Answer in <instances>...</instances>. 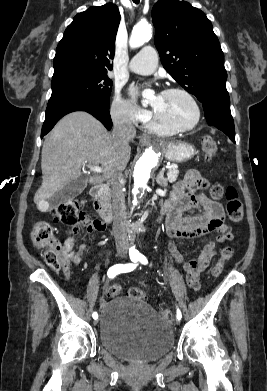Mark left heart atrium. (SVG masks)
<instances>
[{
	"label": "left heart atrium",
	"mask_w": 267,
	"mask_h": 391,
	"mask_svg": "<svg viewBox=\"0 0 267 391\" xmlns=\"http://www.w3.org/2000/svg\"><path fill=\"white\" fill-rule=\"evenodd\" d=\"M130 92H131L132 96L136 97L139 93V88L136 86H132L130 89Z\"/></svg>",
	"instance_id": "left-heart-atrium-1"
}]
</instances>
